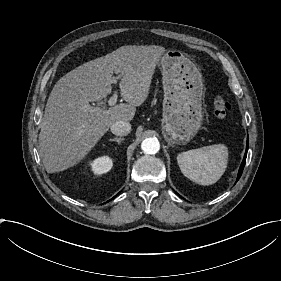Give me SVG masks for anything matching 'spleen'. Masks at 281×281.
<instances>
[{
  "label": "spleen",
  "instance_id": "spleen-1",
  "mask_svg": "<svg viewBox=\"0 0 281 281\" xmlns=\"http://www.w3.org/2000/svg\"><path fill=\"white\" fill-rule=\"evenodd\" d=\"M177 161L184 176L194 182L197 179L210 185L224 174L228 150L223 144L205 146L178 154Z\"/></svg>",
  "mask_w": 281,
  "mask_h": 281
}]
</instances>
